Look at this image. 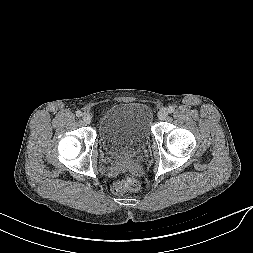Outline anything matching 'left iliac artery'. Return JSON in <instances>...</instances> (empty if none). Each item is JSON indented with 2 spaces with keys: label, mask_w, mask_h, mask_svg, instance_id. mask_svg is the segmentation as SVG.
Segmentation results:
<instances>
[{
  "label": "left iliac artery",
  "mask_w": 253,
  "mask_h": 253,
  "mask_svg": "<svg viewBox=\"0 0 253 253\" xmlns=\"http://www.w3.org/2000/svg\"><path fill=\"white\" fill-rule=\"evenodd\" d=\"M174 110H175V107H174V106H169V107H168V112H169V113H173Z\"/></svg>",
  "instance_id": "1"
}]
</instances>
